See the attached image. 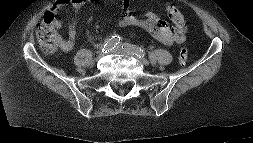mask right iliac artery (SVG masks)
<instances>
[{"mask_svg":"<svg viewBox=\"0 0 253 143\" xmlns=\"http://www.w3.org/2000/svg\"><path fill=\"white\" fill-rule=\"evenodd\" d=\"M120 36H112L111 38L105 41V44L102 47L103 52H109L110 50L114 49L120 43Z\"/></svg>","mask_w":253,"mask_h":143,"instance_id":"obj_1","label":"right iliac artery"}]
</instances>
